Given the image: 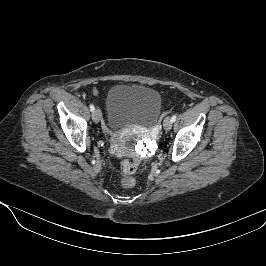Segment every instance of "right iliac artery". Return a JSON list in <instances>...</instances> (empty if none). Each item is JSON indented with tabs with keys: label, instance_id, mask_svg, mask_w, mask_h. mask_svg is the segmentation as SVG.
<instances>
[{
	"label": "right iliac artery",
	"instance_id": "1",
	"mask_svg": "<svg viewBox=\"0 0 266 266\" xmlns=\"http://www.w3.org/2000/svg\"><path fill=\"white\" fill-rule=\"evenodd\" d=\"M95 110V107L93 104H90V111L93 112Z\"/></svg>",
	"mask_w": 266,
	"mask_h": 266
}]
</instances>
